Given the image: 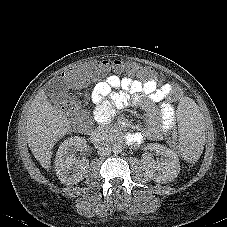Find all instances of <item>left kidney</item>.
Returning a JSON list of instances; mask_svg holds the SVG:
<instances>
[{
	"label": "left kidney",
	"instance_id": "1",
	"mask_svg": "<svg viewBox=\"0 0 227 227\" xmlns=\"http://www.w3.org/2000/svg\"><path fill=\"white\" fill-rule=\"evenodd\" d=\"M149 150L156 151L161 155L160 160H154L149 154L144 156L147 163L146 173L157 183H167L177 177L180 172V164L177 154L169 148L151 143Z\"/></svg>",
	"mask_w": 227,
	"mask_h": 227
}]
</instances>
